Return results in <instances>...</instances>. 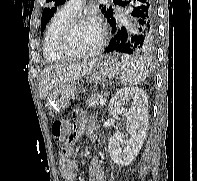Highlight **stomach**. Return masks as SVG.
<instances>
[{
    "label": "stomach",
    "instance_id": "0dacf381",
    "mask_svg": "<svg viewBox=\"0 0 197 181\" xmlns=\"http://www.w3.org/2000/svg\"><path fill=\"white\" fill-rule=\"evenodd\" d=\"M122 72L120 62L112 57L99 58L93 61L89 73L85 77L88 83H104L113 80ZM77 92L76 82H64L56 86L50 93L47 106L50 110H65Z\"/></svg>",
    "mask_w": 197,
    "mask_h": 181
}]
</instances>
